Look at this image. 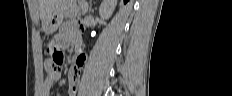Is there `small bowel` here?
<instances>
[{
    "label": "small bowel",
    "instance_id": "small-bowel-1",
    "mask_svg": "<svg viewBox=\"0 0 232 96\" xmlns=\"http://www.w3.org/2000/svg\"><path fill=\"white\" fill-rule=\"evenodd\" d=\"M84 25H79L75 20H68L64 22L54 37L57 46L62 47L70 43H84V38H79L83 35ZM86 63L85 55L78 52L74 59L73 67L70 69L68 75L69 93L75 96L78 92V84L82 69ZM49 62L45 63L48 70ZM61 77V72L50 73L41 81L40 94L41 96H48L50 94L53 84Z\"/></svg>",
    "mask_w": 232,
    "mask_h": 96
}]
</instances>
